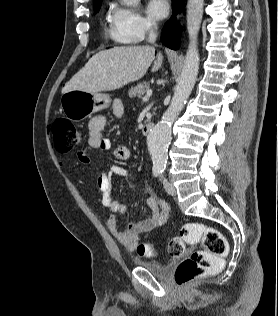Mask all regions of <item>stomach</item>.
I'll use <instances>...</instances> for the list:
<instances>
[{"label":"stomach","instance_id":"stomach-1","mask_svg":"<svg viewBox=\"0 0 278 316\" xmlns=\"http://www.w3.org/2000/svg\"><path fill=\"white\" fill-rule=\"evenodd\" d=\"M109 95L103 93H87L72 90L63 93L60 104L61 111L71 121L83 120L95 112L110 106Z\"/></svg>","mask_w":278,"mask_h":316}]
</instances>
